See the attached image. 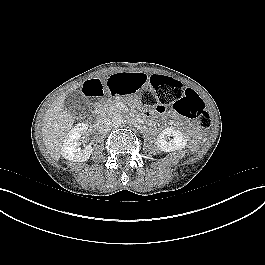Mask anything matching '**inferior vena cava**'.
Masks as SVG:
<instances>
[{
    "label": "inferior vena cava",
    "mask_w": 265,
    "mask_h": 265,
    "mask_svg": "<svg viewBox=\"0 0 265 265\" xmlns=\"http://www.w3.org/2000/svg\"><path fill=\"white\" fill-rule=\"evenodd\" d=\"M112 127L113 124L110 118L103 117L100 118L97 122V129L100 133H107L112 129Z\"/></svg>",
    "instance_id": "602c4592"
}]
</instances>
